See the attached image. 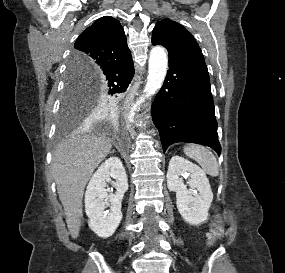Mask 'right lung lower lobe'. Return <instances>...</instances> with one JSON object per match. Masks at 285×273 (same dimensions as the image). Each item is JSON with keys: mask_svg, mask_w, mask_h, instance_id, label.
Returning a JSON list of instances; mask_svg holds the SVG:
<instances>
[{"mask_svg": "<svg viewBox=\"0 0 285 273\" xmlns=\"http://www.w3.org/2000/svg\"><path fill=\"white\" fill-rule=\"evenodd\" d=\"M134 65L132 57L128 60L103 67L100 71L90 76L89 84L103 90L106 94L115 95L124 92L134 76ZM116 103L103 105L112 111Z\"/></svg>", "mask_w": 285, "mask_h": 273, "instance_id": "obj_1", "label": "right lung lower lobe"}]
</instances>
